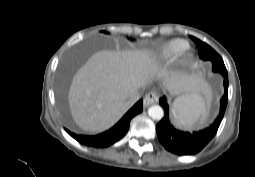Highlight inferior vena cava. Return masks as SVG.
I'll return each mask as SVG.
<instances>
[{
	"instance_id": "1",
	"label": "inferior vena cava",
	"mask_w": 255,
	"mask_h": 177,
	"mask_svg": "<svg viewBox=\"0 0 255 177\" xmlns=\"http://www.w3.org/2000/svg\"><path fill=\"white\" fill-rule=\"evenodd\" d=\"M140 98V94L136 91L131 94V96L128 99V102L131 103L132 105L137 102Z\"/></svg>"
}]
</instances>
